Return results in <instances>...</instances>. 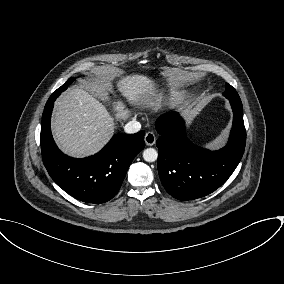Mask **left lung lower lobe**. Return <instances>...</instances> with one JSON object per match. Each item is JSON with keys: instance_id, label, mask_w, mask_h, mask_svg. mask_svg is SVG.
<instances>
[{"instance_id": "obj_1", "label": "left lung lower lobe", "mask_w": 284, "mask_h": 284, "mask_svg": "<svg viewBox=\"0 0 284 284\" xmlns=\"http://www.w3.org/2000/svg\"><path fill=\"white\" fill-rule=\"evenodd\" d=\"M233 126L227 145L210 151L192 144L176 112L161 115L155 122L158 172L166 191L187 201L206 196L219 188L239 164L246 144L242 102L230 100Z\"/></svg>"}]
</instances>
